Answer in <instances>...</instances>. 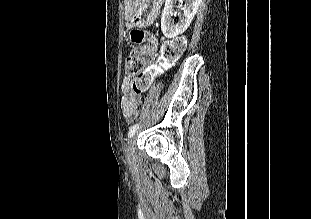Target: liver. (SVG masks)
Segmentation results:
<instances>
[{"label":"liver","mask_w":311,"mask_h":219,"mask_svg":"<svg viewBox=\"0 0 311 219\" xmlns=\"http://www.w3.org/2000/svg\"><path fill=\"white\" fill-rule=\"evenodd\" d=\"M139 0H125L126 20H129L138 6Z\"/></svg>","instance_id":"1"}]
</instances>
